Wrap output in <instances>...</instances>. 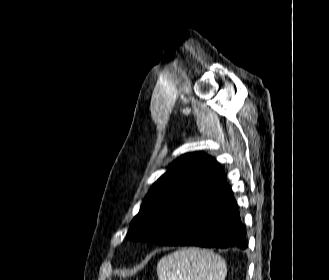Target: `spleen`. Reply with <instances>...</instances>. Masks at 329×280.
Segmentation results:
<instances>
[{
	"instance_id": "3e777b00",
	"label": "spleen",
	"mask_w": 329,
	"mask_h": 280,
	"mask_svg": "<svg viewBox=\"0 0 329 280\" xmlns=\"http://www.w3.org/2000/svg\"><path fill=\"white\" fill-rule=\"evenodd\" d=\"M225 261L208 249L182 248L157 264L159 280H225Z\"/></svg>"
}]
</instances>
